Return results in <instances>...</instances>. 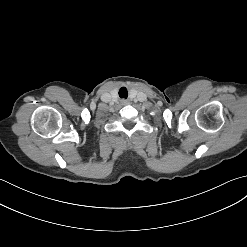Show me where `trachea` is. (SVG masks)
Wrapping results in <instances>:
<instances>
[{
    "label": "trachea",
    "instance_id": "1",
    "mask_svg": "<svg viewBox=\"0 0 247 247\" xmlns=\"http://www.w3.org/2000/svg\"><path fill=\"white\" fill-rule=\"evenodd\" d=\"M119 97L120 98H127L128 97V91L125 87L120 88L119 90Z\"/></svg>",
    "mask_w": 247,
    "mask_h": 247
}]
</instances>
